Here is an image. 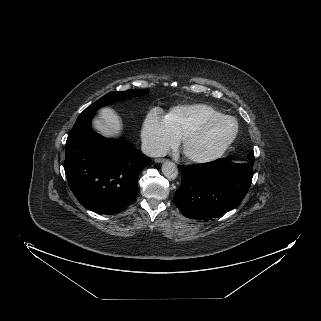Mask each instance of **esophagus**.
<instances>
[{
	"label": "esophagus",
	"instance_id": "34e87169",
	"mask_svg": "<svg viewBox=\"0 0 321 321\" xmlns=\"http://www.w3.org/2000/svg\"><path fill=\"white\" fill-rule=\"evenodd\" d=\"M154 161H155L156 163H164V162H166L167 160H166V159H163V158H156Z\"/></svg>",
	"mask_w": 321,
	"mask_h": 321
}]
</instances>
